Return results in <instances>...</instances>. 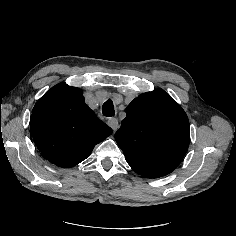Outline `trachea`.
Returning <instances> with one entry per match:
<instances>
[{
	"mask_svg": "<svg viewBox=\"0 0 236 236\" xmlns=\"http://www.w3.org/2000/svg\"><path fill=\"white\" fill-rule=\"evenodd\" d=\"M103 115L106 117H112L115 114L113 103L111 100L106 101L102 107Z\"/></svg>",
	"mask_w": 236,
	"mask_h": 236,
	"instance_id": "trachea-1",
	"label": "trachea"
}]
</instances>
